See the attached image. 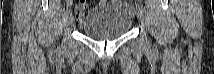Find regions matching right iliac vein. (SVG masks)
<instances>
[{"label":"right iliac vein","mask_w":214,"mask_h":74,"mask_svg":"<svg viewBox=\"0 0 214 74\" xmlns=\"http://www.w3.org/2000/svg\"><path fill=\"white\" fill-rule=\"evenodd\" d=\"M67 19H68V22L72 21V13L71 12L68 13Z\"/></svg>","instance_id":"1"}]
</instances>
